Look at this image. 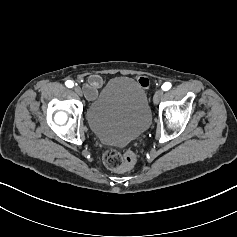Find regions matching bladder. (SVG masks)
<instances>
[{"instance_id":"31cf9c89","label":"bladder","mask_w":237,"mask_h":237,"mask_svg":"<svg viewBox=\"0 0 237 237\" xmlns=\"http://www.w3.org/2000/svg\"><path fill=\"white\" fill-rule=\"evenodd\" d=\"M86 119L101 142L124 145L138 138L151 123L147 93L130 77L112 78L90 103Z\"/></svg>"}]
</instances>
